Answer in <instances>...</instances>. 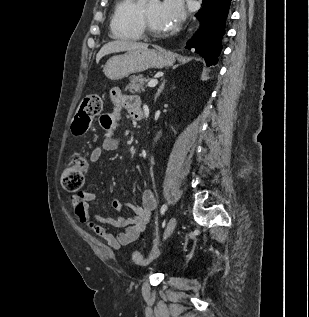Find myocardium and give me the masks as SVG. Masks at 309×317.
<instances>
[{
    "mask_svg": "<svg viewBox=\"0 0 309 317\" xmlns=\"http://www.w3.org/2000/svg\"><path fill=\"white\" fill-rule=\"evenodd\" d=\"M139 19H140V25H141V27L143 29V32L145 34H147L149 36H152V37H161V36L164 35V33L158 32V31L154 30L150 26L143 9H140V17H139Z\"/></svg>",
    "mask_w": 309,
    "mask_h": 317,
    "instance_id": "1",
    "label": "myocardium"
}]
</instances>
